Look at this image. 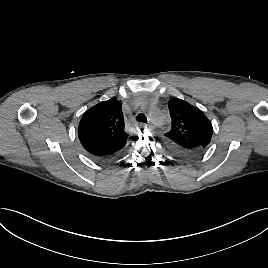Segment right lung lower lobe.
<instances>
[{
	"instance_id": "right-lung-lower-lobe-1",
	"label": "right lung lower lobe",
	"mask_w": 268,
	"mask_h": 268,
	"mask_svg": "<svg viewBox=\"0 0 268 268\" xmlns=\"http://www.w3.org/2000/svg\"><path fill=\"white\" fill-rule=\"evenodd\" d=\"M114 155H111V156H95L96 158L98 159H101V160H107V159H111Z\"/></svg>"
}]
</instances>
